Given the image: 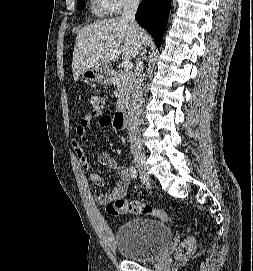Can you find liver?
<instances>
[{
    "label": "liver",
    "instance_id": "obj_1",
    "mask_svg": "<svg viewBox=\"0 0 253 271\" xmlns=\"http://www.w3.org/2000/svg\"><path fill=\"white\" fill-rule=\"evenodd\" d=\"M142 32V38H139L134 26L121 17L82 27L78 31L73 52L74 80L77 81L86 69L105 66L117 60L121 54L125 61L135 58L150 41L143 29Z\"/></svg>",
    "mask_w": 253,
    "mask_h": 271
}]
</instances>
